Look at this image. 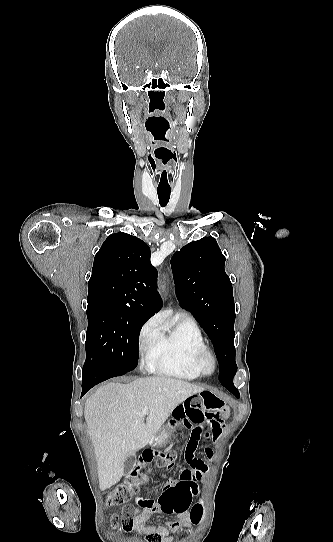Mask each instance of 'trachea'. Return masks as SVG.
I'll list each match as a JSON object with an SVG mask.
<instances>
[{"instance_id": "trachea-1", "label": "trachea", "mask_w": 333, "mask_h": 542, "mask_svg": "<svg viewBox=\"0 0 333 542\" xmlns=\"http://www.w3.org/2000/svg\"><path fill=\"white\" fill-rule=\"evenodd\" d=\"M157 193L161 207H165L170 199V189H157Z\"/></svg>"}]
</instances>
